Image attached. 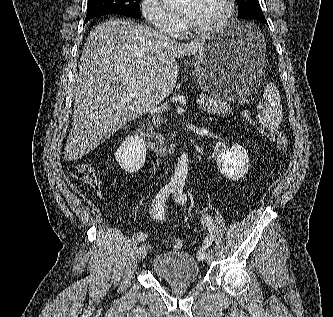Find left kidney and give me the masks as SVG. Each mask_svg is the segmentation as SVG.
I'll return each mask as SVG.
<instances>
[{"label":"left kidney","instance_id":"obj_1","mask_svg":"<svg viewBox=\"0 0 333 317\" xmlns=\"http://www.w3.org/2000/svg\"><path fill=\"white\" fill-rule=\"evenodd\" d=\"M217 166L221 174L229 180H239L249 170L248 153L241 145L234 144L219 152Z\"/></svg>","mask_w":333,"mask_h":317}]
</instances>
